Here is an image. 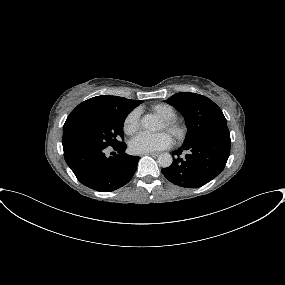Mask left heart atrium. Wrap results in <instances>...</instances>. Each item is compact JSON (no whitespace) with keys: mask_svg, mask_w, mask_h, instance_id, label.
Instances as JSON below:
<instances>
[{"mask_svg":"<svg viewBox=\"0 0 285 285\" xmlns=\"http://www.w3.org/2000/svg\"><path fill=\"white\" fill-rule=\"evenodd\" d=\"M171 144V137L165 132L152 135L141 133L130 141L129 147L133 153L144 154L162 150Z\"/></svg>","mask_w":285,"mask_h":285,"instance_id":"obj_1","label":"left heart atrium"}]
</instances>
